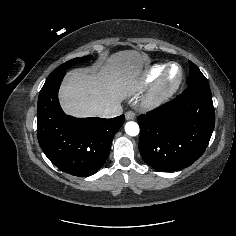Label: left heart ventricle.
<instances>
[{
    "mask_svg": "<svg viewBox=\"0 0 236 236\" xmlns=\"http://www.w3.org/2000/svg\"><path fill=\"white\" fill-rule=\"evenodd\" d=\"M179 69L178 67L174 66L172 67L170 74H169V81L175 80V78L178 76Z\"/></svg>",
    "mask_w": 236,
    "mask_h": 236,
    "instance_id": "1",
    "label": "left heart ventricle"
}]
</instances>
